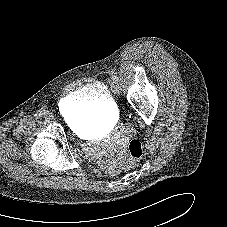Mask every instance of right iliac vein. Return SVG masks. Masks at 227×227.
Instances as JSON below:
<instances>
[{"mask_svg":"<svg viewBox=\"0 0 227 227\" xmlns=\"http://www.w3.org/2000/svg\"><path fill=\"white\" fill-rule=\"evenodd\" d=\"M44 116H45L46 118H51V117H52V115H51L50 113H45Z\"/></svg>","mask_w":227,"mask_h":227,"instance_id":"1","label":"right iliac vein"}]
</instances>
